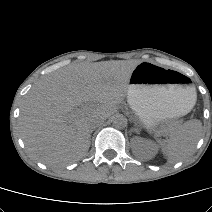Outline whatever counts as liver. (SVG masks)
Returning <instances> with one entry per match:
<instances>
[{
	"label": "liver",
	"mask_w": 212,
	"mask_h": 212,
	"mask_svg": "<svg viewBox=\"0 0 212 212\" xmlns=\"http://www.w3.org/2000/svg\"><path fill=\"white\" fill-rule=\"evenodd\" d=\"M137 63H76L45 77L27 94L19 131L29 154L49 165L79 160L89 150L88 119L109 118L128 94ZM87 102L83 110H73Z\"/></svg>",
	"instance_id": "1"
}]
</instances>
